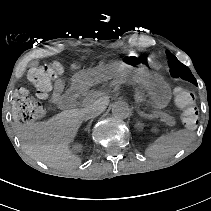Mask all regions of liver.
Returning <instances> with one entry per match:
<instances>
[{
    "label": "liver",
    "mask_w": 211,
    "mask_h": 211,
    "mask_svg": "<svg viewBox=\"0 0 211 211\" xmlns=\"http://www.w3.org/2000/svg\"><path fill=\"white\" fill-rule=\"evenodd\" d=\"M96 101L106 109L111 100L108 96H102ZM82 122L79 112L63 111L45 121L29 124L16 122L14 130L25 153L32 159L53 168L70 170L82 163L81 156L73 149Z\"/></svg>",
    "instance_id": "liver-1"
}]
</instances>
